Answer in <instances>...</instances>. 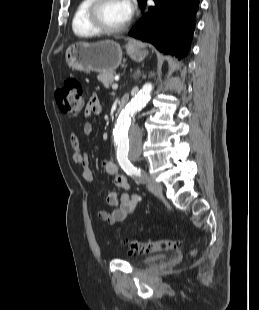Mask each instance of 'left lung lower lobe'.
Listing matches in <instances>:
<instances>
[{"label":"left lung lower lobe","mask_w":259,"mask_h":310,"mask_svg":"<svg viewBox=\"0 0 259 310\" xmlns=\"http://www.w3.org/2000/svg\"><path fill=\"white\" fill-rule=\"evenodd\" d=\"M155 6L131 29L129 35L152 43L159 51L183 58L190 49L199 0H154ZM142 10L146 0L139 2Z\"/></svg>","instance_id":"left-lung-lower-lobe-1"}]
</instances>
